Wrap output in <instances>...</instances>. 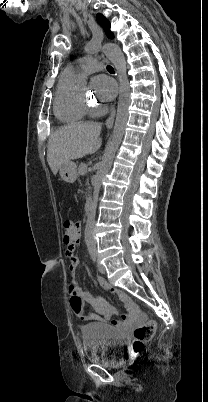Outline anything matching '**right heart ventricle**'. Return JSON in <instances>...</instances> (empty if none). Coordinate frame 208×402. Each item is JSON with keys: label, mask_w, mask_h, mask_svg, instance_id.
I'll use <instances>...</instances> for the list:
<instances>
[{"label": "right heart ventricle", "mask_w": 208, "mask_h": 402, "mask_svg": "<svg viewBox=\"0 0 208 402\" xmlns=\"http://www.w3.org/2000/svg\"><path fill=\"white\" fill-rule=\"evenodd\" d=\"M76 80L77 78L64 71L55 92L54 114L66 126H83L88 121V110L78 100Z\"/></svg>", "instance_id": "obj_1"}]
</instances>
